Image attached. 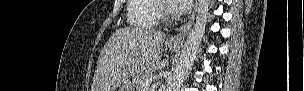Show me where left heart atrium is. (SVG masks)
Wrapping results in <instances>:
<instances>
[{"label": "left heart atrium", "mask_w": 304, "mask_h": 91, "mask_svg": "<svg viewBox=\"0 0 304 91\" xmlns=\"http://www.w3.org/2000/svg\"><path fill=\"white\" fill-rule=\"evenodd\" d=\"M171 8L175 14H183L191 7V0H172Z\"/></svg>", "instance_id": "1"}]
</instances>
